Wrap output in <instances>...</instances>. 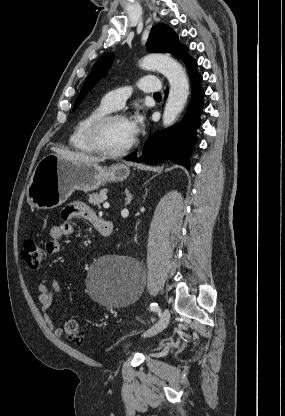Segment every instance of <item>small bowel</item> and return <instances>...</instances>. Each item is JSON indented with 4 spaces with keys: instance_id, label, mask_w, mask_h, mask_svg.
<instances>
[{
    "instance_id": "obj_1",
    "label": "small bowel",
    "mask_w": 285,
    "mask_h": 416,
    "mask_svg": "<svg viewBox=\"0 0 285 416\" xmlns=\"http://www.w3.org/2000/svg\"><path fill=\"white\" fill-rule=\"evenodd\" d=\"M74 217H79L83 220H86L94 227H96L97 223L102 220L90 207L82 202H73L68 204L61 210V223L50 228V240L47 241L45 245L47 254L57 255L60 253L61 239L74 233V226L71 222ZM38 290V298L41 304V310L45 323L56 336H63V329L54 323L50 313V309L54 301V296L60 290L59 282L57 280H52L49 284L41 283L38 287Z\"/></svg>"
}]
</instances>
